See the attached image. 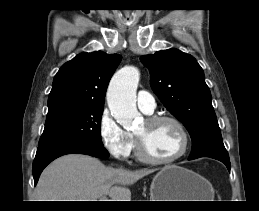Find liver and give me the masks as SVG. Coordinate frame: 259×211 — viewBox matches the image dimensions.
<instances>
[{"label": "liver", "mask_w": 259, "mask_h": 211, "mask_svg": "<svg viewBox=\"0 0 259 211\" xmlns=\"http://www.w3.org/2000/svg\"><path fill=\"white\" fill-rule=\"evenodd\" d=\"M154 171L115 169L91 156L69 154L56 159L42 172L36 187V199L98 201L108 195L111 201H131L128 186Z\"/></svg>", "instance_id": "liver-1"}]
</instances>
